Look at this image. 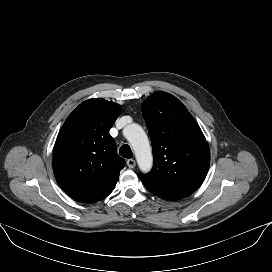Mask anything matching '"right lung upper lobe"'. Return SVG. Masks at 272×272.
<instances>
[{"label":"right lung upper lobe","mask_w":272,"mask_h":272,"mask_svg":"<svg viewBox=\"0 0 272 272\" xmlns=\"http://www.w3.org/2000/svg\"><path fill=\"white\" fill-rule=\"evenodd\" d=\"M121 106L103 99L84 101L66 119L53 150V171L76 201L97 202L112 189L125 165L109 134Z\"/></svg>","instance_id":"1"}]
</instances>
